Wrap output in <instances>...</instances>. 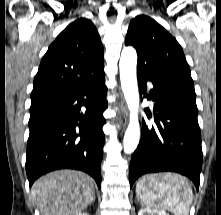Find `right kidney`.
Wrapping results in <instances>:
<instances>
[{
  "label": "right kidney",
  "mask_w": 221,
  "mask_h": 215,
  "mask_svg": "<svg viewBox=\"0 0 221 215\" xmlns=\"http://www.w3.org/2000/svg\"><path fill=\"white\" fill-rule=\"evenodd\" d=\"M76 215H89L88 213H82V212H79V213H77Z\"/></svg>",
  "instance_id": "right-kidney-1"
}]
</instances>
